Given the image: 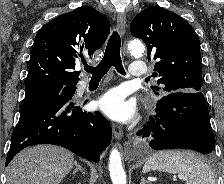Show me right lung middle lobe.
<instances>
[{
  "mask_svg": "<svg viewBox=\"0 0 224 184\" xmlns=\"http://www.w3.org/2000/svg\"><path fill=\"white\" fill-rule=\"evenodd\" d=\"M75 85H59V84H34L25 86V100L27 102L33 98L46 95L57 94L62 91L72 92Z\"/></svg>",
  "mask_w": 224,
  "mask_h": 184,
  "instance_id": "1",
  "label": "right lung middle lobe"
}]
</instances>
